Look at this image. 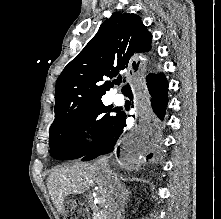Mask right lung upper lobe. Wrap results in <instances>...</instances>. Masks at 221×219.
I'll return each instance as SVG.
<instances>
[{
  "label": "right lung upper lobe",
  "mask_w": 221,
  "mask_h": 219,
  "mask_svg": "<svg viewBox=\"0 0 221 219\" xmlns=\"http://www.w3.org/2000/svg\"><path fill=\"white\" fill-rule=\"evenodd\" d=\"M152 35L136 14L115 12L57 79L55 120L87 104L102 101L111 81L126 70L138 74L139 54L151 48ZM128 84L122 88V92Z\"/></svg>",
  "instance_id": "right-lung-upper-lobe-1"
}]
</instances>
